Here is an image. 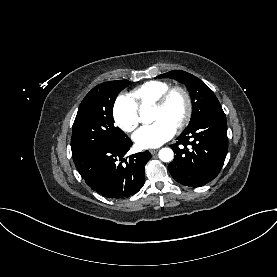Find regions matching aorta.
<instances>
[{
	"label": "aorta",
	"mask_w": 277,
	"mask_h": 277,
	"mask_svg": "<svg viewBox=\"0 0 277 277\" xmlns=\"http://www.w3.org/2000/svg\"><path fill=\"white\" fill-rule=\"evenodd\" d=\"M140 118L145 123H151L153 121V117L149 113V110L141 108L140 110ZM174 153L170 148H162L159 151V158L163 162H170L173 160Z\"/></svg>",
	"instance_id": "762f6f07"
}]
</instances>
